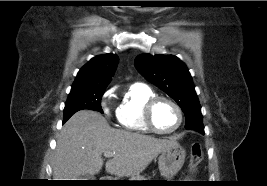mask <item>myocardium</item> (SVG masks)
<instances>
[{
  "label": "myocardium",
  "mask_w": 267,
  "mask_h": 186,
  "mask_svg": "<svg viewBox=\"0 0 267 186\" xmlns=\"http://www.w3.org/2000/svg\"><path fill=\"white\" fill-rule=\"evenodd\" d=\"M160 101H166V102L170 103L177 111L178 122L175 125V127L172 128L171 130H160L154 124V121H153L154 107ZM183 120H184L183 111H182L180 105L170 97L163 96V95H154L153 97L149 98L144 105L143 121H144L145 125L147 126V128L156 134L170 135V134L175 133L181 127Z\"/></svg>",
  "instance_id": "f54148a6"
}]
</instances>
